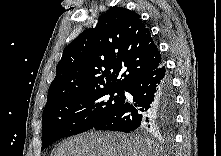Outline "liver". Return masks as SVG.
<instances>
[{"label": "liver", "mask_w": 221, "mask_h": 156, "mask_svg": "<svg viewBox=\"0 0 221 156\" xmlns=\"http://www.w3.org/2000/svg\"><path fill=\"white\" fill-rule=\"evenodd\" d=\"M150 139L117 132L91 131L60 143L54 156H160Z\"/></svg>", "instance_id": "obj_1"}]
</instances>
